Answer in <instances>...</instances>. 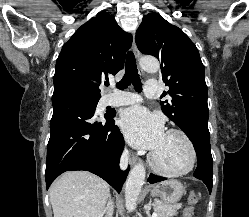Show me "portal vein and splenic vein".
Here are the masks:
<instances>
[{"instance_id": "obj_1", "label": "portal vein and splenic vein", "mask_w": 249, "mask_h": 217, "mask_svg": "<svg viewBox=\"0 0 249 217\" xmlns=\"http://www.w3.org/2000/svg\"><path fill=\"white\" fill-rule=\"evenodd\" d=\"M151 217H157V212L154 211Z\"/></svg>"}]
</instances>
